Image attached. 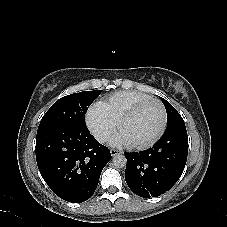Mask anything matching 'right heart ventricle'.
<instances>
[{"label":"right heart ventricle","mask_w":227,"mask_h":227,"mask_svg":"<svg viewBox=\"0 0 227 227\" xmlns=\"http://www.w3.org/2000/svg\"><path fill=\"white\" fill-rule=\"evenodd\" d=\"M150 96L135 90H123L113 93L98 102L104 113L116 124L119 118L137 103Z\"/></svg>","instance_id":"1"}]
</instances>
